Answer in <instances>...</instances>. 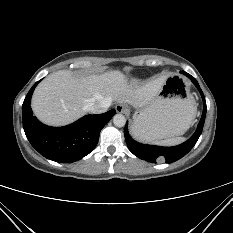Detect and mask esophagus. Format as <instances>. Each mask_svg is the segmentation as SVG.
I'll use <instances>...</instances> for the list:
<instances>
[{
	"label": "esophagus",
	"mask_w": 233,
	"mask_h": 233,
	"mask_svg": "<svg viewBox=\"0 0 233 233\" xmlns=\"http://www.w3.org/2000/svg\"><path fill=\"white\" fill-rule=\"evenodd\" d=\"M117 113L126 114L128 112V108L124 104H118L115 107Z\"/></svg>",
	"instance_id": "34e87169"
}]
</instances>
